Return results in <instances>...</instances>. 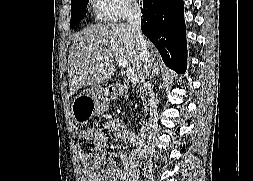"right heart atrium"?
<instances>
[{
	"instance_id": "obj_1",
	"label": "right heart atrium",
	"mask_w": 253,
	"mask_h": 181,
	"mask_svg": "<svg viewBox=\"0 0 253 181\" xmlns=\"http://www.w3.org/2000/svg\"><path fill=\"white\" fill-rule=\"evenodd\" d=\"M109 16L114 20H119L135 13L139 9L137 0H104Z\"/></svg>"
}]
</instances>
